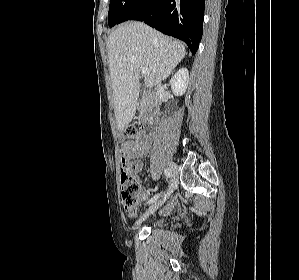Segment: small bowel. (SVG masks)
<instances>
[{
    "instance_id": "c3829d8e",
    "label": "small bowel",
    "mask_w": 299,
    "mask_h": 280,
    "mask_svg": "<svg viewBox=\"0 0 299 280\" xmlns=\"http://www.w3.org/2000/svg\"><path fill=\"white\" fill-rule=\"evenodd\" d=\"M152 145V138L150 135L142 134L139 139L135 142H131L126 146H122V156H125L128 160L132 158H143L148 153ZM135 171L139 172L142 169L140 162L134 163ZM147 199V193L145 191L140 192V200L144 201ZM177 201H171L163 210V213L170 212L176 205Z\"/></svg>"
}]
</instances>
